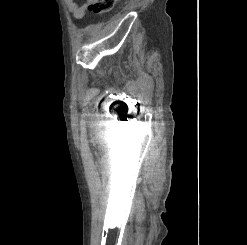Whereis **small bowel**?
Returning <instances> with one entry per match:
<instances>
[{"instance_id": "c3829d8e", "label": "small bowel", "mask_w": 247, "mask_h": 245, "mask_svg": "<svg viewBox=\"0 0 247 245\" xmlns=\"http://www.w3.org/2000/svg\"><path fill=\"white\" fill-rule=\"evenodd\" d=\"M64 2L74 18L81 19L85 15L88 5L92 2V0H87V4L85 5H80L75 0H64Z\"/></svg>"}]
</instances>
